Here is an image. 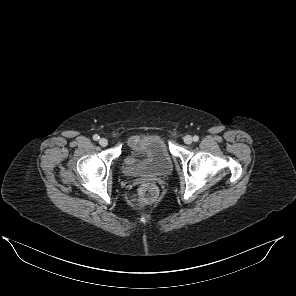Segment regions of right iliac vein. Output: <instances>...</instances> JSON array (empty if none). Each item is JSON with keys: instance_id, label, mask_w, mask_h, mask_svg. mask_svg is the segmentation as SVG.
I'll return each mask as SVG.
<instances>
[{"instance_id": "1", "label": "right iliac vein", "mask_w": 296, "mask_h": 296, "mask_svg": "<svg viewBox=\"0 0 296 296\" xmlns=\"http://www.w3.org/2000/svg\"><path fill=\"white\" fill-rule=\"evenodd\" d=\"M99 144L102 146V147H105L107 146L108 144V140L106 138H100L99 140Z\"/></svg>"}]
</instances>
